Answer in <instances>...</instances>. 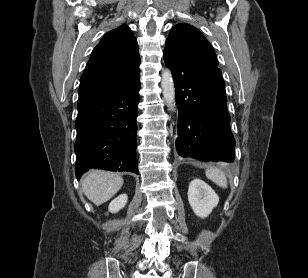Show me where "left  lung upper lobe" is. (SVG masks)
<instances>
[{"mask_svg":"<svg viewBox=\"0 0 308 278\" xmlns=\"http://www.w3.org/2000/svg\"><path fill=\"white\" fill-rule=\"evenodd\" d=\"M164 61L172 74L184 77L218 68L210 43L198 29L186 23L171 29L164 49Z\"/></svg>","mask_w":308,"mask_h":278,"instance_id":"left-lung-upper-lobe-1","label":"left lung upper lobe"}]
</instances>
